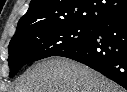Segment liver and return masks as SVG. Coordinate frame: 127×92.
<instances>
[{
  "instance_id": "liver-1",
  "label": "liver",
  "mask_w": 127,
  "mask_h": 92,
  "mask_svg": "<svg viewBox=\"0 0 127 92\" xmlns=\"http://www.w3.org/2000/svg\"><path fill=\"white\" fill-rule=\"evenodd\" d=\"M14 92H123L97 71L62 57L32 65L19 79Z\"/></svg>"
}]
</instances>
